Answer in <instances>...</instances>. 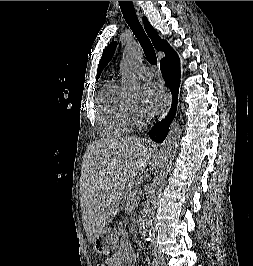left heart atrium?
<instances>
[{"mask_svg": "<svg viewBox=\"0 0 253 266\" xmlns=\"http://www.w3.org/2000/svg\"><path fill=\"white\" fill-rule=\"evenodd\" d=\"M143 98L145 110L152 115L159 113L167 100L164 89L156 83H147L143 86Z\"/></svg>", "mask_w": 253, "mask_h": 266, "instance_id": "left-heart-atrium-1", "label": "left heart atrium"}]
</instances>
